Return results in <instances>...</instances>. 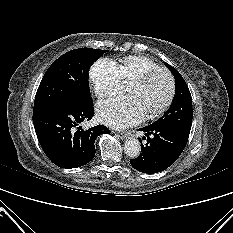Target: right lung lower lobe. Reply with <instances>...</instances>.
Listing matches in <instances>:
<instances>
[{"label":"right lung lower lobe","instance_id":"1","mask_svg":"<svg viewBox=\"0 0 233 233\" xmlns=\"http://www.w3.org/2000/svg\"><path fill=\"white\" fill-rule=\"evenodd\" d=\"M94 115L93 101L76 106L46 107L33 111V124L47 157L61 168H77L95 156V139L110 130L97 125L88 130L75 126Z\"/></svg>","mask_w":233,"mask_h":233}]
</instances>
